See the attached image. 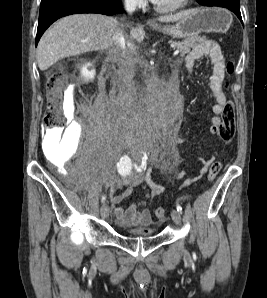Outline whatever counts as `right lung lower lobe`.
Returning a JSON list of instances; mask_svg holds the SVG:
<instances>
[{"mask_svg":"<svg viewBox=\"0 0 267 298\" xmlns=\"http://www.w3.org/2000/svg\"><path fill=\"white\" fill-rule=\"evenodd\" d=\"M121 0H41L36 45L44 31L57 19L77 13L113 15Z\"/></svg>","mask_w":267,"mask_h":298,"instance_id":"98d812e1","label":"right lung lower lobe"}]
</instances>
